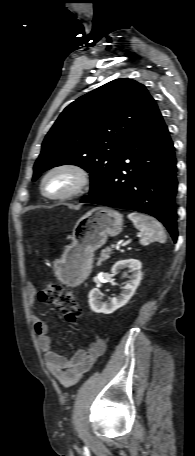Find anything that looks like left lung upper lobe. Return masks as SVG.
<instances>
[{
	"label": "left lung upper lobe",
	"instance_id": "5c2ea615",
	"mask_svg": "<svg viewBox=\"0 0 195 456\" xmlns=\"http://www.w3.org/2000/svg\"><path fill=\"white\" fill-rule=\"evenodd\" d=\"M132 79H116L81 96L60 114L46 135L33 180L52 167L73 164L90 173L97 191L110 174L131 130L154 103Z\"/></svg>",
	"mask_w": 195,
	"mask_h": 456
}]
</instances>
